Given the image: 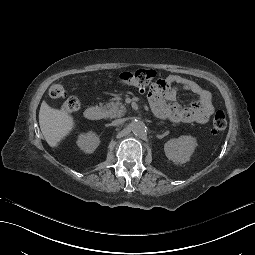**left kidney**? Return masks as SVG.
Listing matches in <instances>:
<instances>
[{"instance_id":"5707ae66","label":"left kidney","mask_w":255,"mask_h":255,"mask_svg":"<svg viewBox=\"0 0 255 255\" xmlns=\"http://www.w3.org/2000/svg\"><path fill=\"white\" fill-rule=\"evenodd\" d=\"M197 145L196 140L190 136L171 139L164 145L165 154L168 159L175 163L183 164L189 161V157Z\"/></svg>"}]
</instances>
